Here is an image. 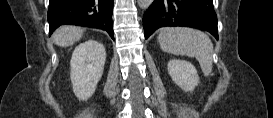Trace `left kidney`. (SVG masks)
I'll list each match as a JSON object with an SVG mask.
<instances>
[{
  "label": "left kidney",
  "instance_id": "left-kidney-1",
  "mask_svg": "<svg viewBox=\"0 0 273 118\" xmlns=\"http://www.w3.org/2000/svg\"><path fill=\"white\" fill-rule=\"evenodd\" d=\"M173 82L186 92H192L199 83L195 67L187 61L172 59L167 65Z\"/></svg>",
  "mask_w": 273,
  "mask_h": 118
}]
</instances>
